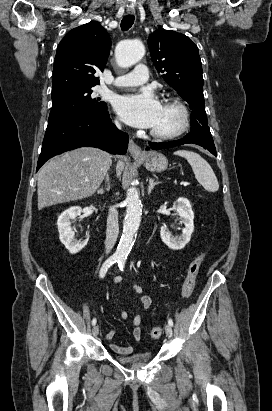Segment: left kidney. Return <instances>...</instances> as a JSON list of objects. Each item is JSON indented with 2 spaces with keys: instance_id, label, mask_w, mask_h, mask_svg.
<instances>
[{
  "instance_id": "obj_1",
  "label": "left kidney",
  "mask_w": 272,
  "mask_h": 411,
  "mask_svg": "<svg viewBox=\"0 0 272 411\" xmlns=\"http://www.w3.org/2000/svg\"><path fill=\"white\" fill-rule=\"evenodd\" d=\"M174 209L184 224L182 234L173 237L165 228H161L160 236L162 241L173 250H180L190 241L194 231V212L188 199L180 197L174 203Z\"/></svg>"
}]
</instances>
